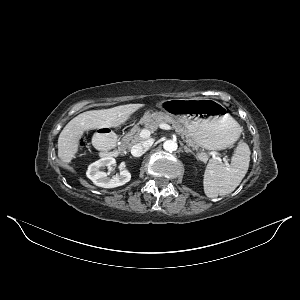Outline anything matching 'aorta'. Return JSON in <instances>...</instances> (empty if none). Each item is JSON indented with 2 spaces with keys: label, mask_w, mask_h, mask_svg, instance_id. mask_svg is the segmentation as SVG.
Wrapping results in <instances>:
<instances>
[{
  "label": "aorta",
  "mask_w": 300,
  "mask_h": 300,
  "mask_svg": "<svg viewBox=\"0 0 300 300\" xmlns=\"http://www.w3.org/2000/svg\"><path fill=\"white\" fill-rule=\"evenodd\" d=\"M163 148L165 151L167 152H174L177 150L178 148V144L176 141L174 140H166L164 143H163Z\"/></svg>",
  "instance_id": "762f6f07"
}]
</instances>
